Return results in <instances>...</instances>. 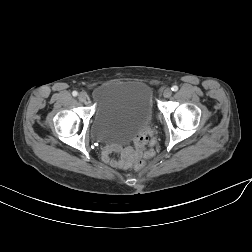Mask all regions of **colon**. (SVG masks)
I'll return each mask as SVG.
<instances>
[{
    "label": "colon",
    "mask_w": 252,
    "mask_h": 252,
    "mask_svg": "<svg viewBox=\"0 0 252 252\" xmlns=\"http://www.w3.org/2000/svg\"><path fill=\"white\" fill-rule=\"evenodd\" d=\"M151 155H152V152H149V153H147V154L145 155V157L149 158V157H151ZM144 166H145V160H144V159H137V160L135 161V168H136V169H141V168H143Z\"/></svg>",
    "instance_id": "obj_1"
}]
</instances>
